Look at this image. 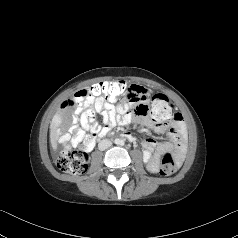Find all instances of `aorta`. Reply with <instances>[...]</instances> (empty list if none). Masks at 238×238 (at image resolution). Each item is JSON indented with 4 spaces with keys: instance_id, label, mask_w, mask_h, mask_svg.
<instances>
[{
    "instance_id": "762f6f07",
    "label": "aorta",
    "mask_w": 238,
    "mask_h": 238,
    "mask_svg": "<svg viewBox=\"0 0 238 238\" xmlns=\"http://www.w3.org/2000/svg\"><path fill=\"white\" fill-rule=\"evenodd\" d=\"M122 142H123V141L120 140V139H116V140H115V143H116V144H122Z\"/></svg>"
}]
</instances>
